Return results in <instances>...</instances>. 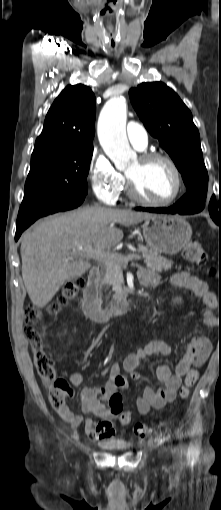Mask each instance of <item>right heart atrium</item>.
Here are the masks:
<instances>
[{"instance_id":"d8ad5b80","label":"right heart atrium","mask_w":221,"mask_h":510,"mask_svg":"<svg viewBox=\"0 0 221 510\" xmlns=\"http://www.w3.org/2000/svg\"><path fill=\"white\" fill-rule=\"evenodd\" d=\"M89 179L95 195L104 204H114L125 186L123 175L99 150L92 153Z\"/></svg>"}]
</instances>
